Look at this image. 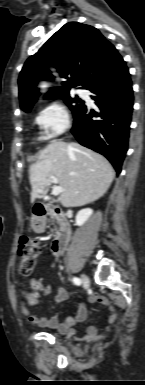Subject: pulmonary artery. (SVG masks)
I'll use <instances>...</instances> for the list:
<instances>
[{
	"label": "pulmonary artery",
	"instance_id": "1",
	"mask_svg": "<svg viewBox=\"0 0 145 385\" xmlns=\"http://www.w3.org/2000/svg\"><path fill=\"white\" fill-rule=\"evenodd\" d=\"M79 94L82 95V94H83V91L80 90V91H79Z\"/></svg>",
	"mask_w": 145,
	"mask_h": 385
}]
</instances>
